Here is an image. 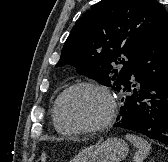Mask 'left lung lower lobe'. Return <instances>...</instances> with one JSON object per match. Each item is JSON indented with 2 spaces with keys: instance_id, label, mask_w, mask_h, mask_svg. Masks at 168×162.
Listing matches in <instances>:
<instances>
[{
  "instance_id": "1",
  "label": "left lung lower lobe",
  "mask_w": 168,
  "mask_h": 162,
  "mask_svg": "<svg viewBox=\"0 0 168 162\" xmlns=\"http://www.w3.org/2000/svg\"><path fill=\"white\" fill-rule=\"evenodd\" d=\"M131 75L139 82L138 92L129 81ZM132 90L134 94L122 98L124 105L113 126L168 145V17L136 56L119 91Z\"/></svg>"
}]
</instances>
